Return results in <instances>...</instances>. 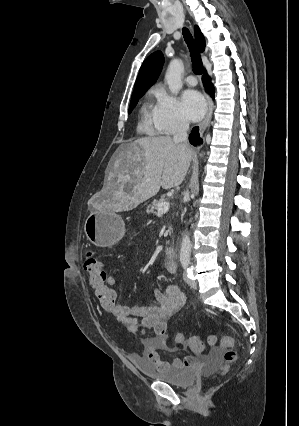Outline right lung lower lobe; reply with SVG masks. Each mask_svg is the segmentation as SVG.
<instances>
[{"instance_id": "98d812e1", "label": "right lung lower lobe", "mask_w": 299, "mask_h": 426, "mask_svg": "<svg viewBox=\"0 0 299 426\" xmlns=\"http://www.w3.org/2000/svg\"><path fill=\"white\" fill-rule=\"evenodd\" d=\"M202 81L204 83V86L206 87L207 91L210 93V95L214 98V87L212 85V83L210 82V77L208 76L207 72L205 71L203 77H202ZM199 128L198 127H194L192 129V132L189 136V141L191 144H197V142H199L201 139L199 138Z\"/></svg>"}]
</instances>
